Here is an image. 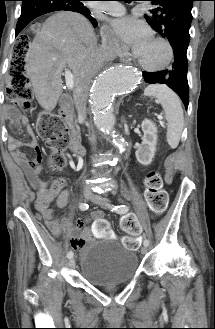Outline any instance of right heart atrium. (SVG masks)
Segmentation results:
<instances>
[{"label": "right heart atrium", "instance_id": "1", "mask_svg": "<svg viewBox=\"0 0 215 329\" xmlns=\"http://www.w3.org/2000/svg\"><path fill=\"white\" fill-rule=\"evenodd\" d=\"M102 38L103 40L111 47H114L118 50V52H122V50L120 49L116 39L113 36L112 31L108 28V27H103L102 31Z\"/></svg>", "mask_w": 215, "mask_h": 329}]
</instances>
